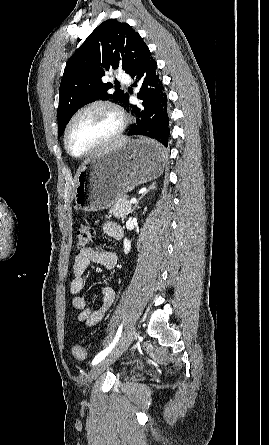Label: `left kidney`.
<instances>
[{
	"mask_svg": "<svg viewBox=\"0 0 269 445\" xmlns=\"http://www.w3.org/2000/svg\"><path fill=\"white\" fill-rule=\"evenodd\" d=\"M147 210V208H145V211ZM131 249V242L128 239H124V252L125 254H128V252Z\"/></svg>",
	"mask_w": 269,
	"mask_h": 445,
	"instance_id": "1",
	"label": "left kidney"
}]
</instances>
